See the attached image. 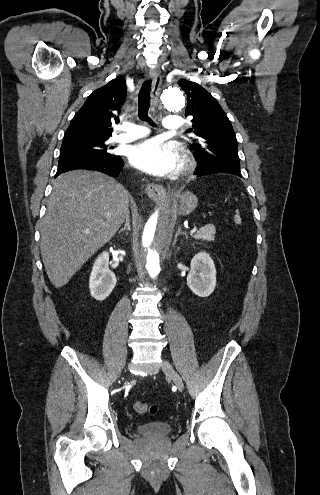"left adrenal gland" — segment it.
Wrapping results in <instances>:
<instances>
[{
  "label": "left adrenal gland",
  "mask_w": 320,
  "mask_h": 495,
  "mask_svg": "<svg viewBox=\"0 0 320 495\" xmlns=\"http://www.w3.org/2000/svg\"><path fill=\"white\" fill-rule=\"evenodd\" d=\"M178 236H185L187 238L186 233L181 231V227H178V230H177V232L175 234L174 244L176 243Z\"/></svg>",
  "instance_id": "obj_1"
}]
</instances>
